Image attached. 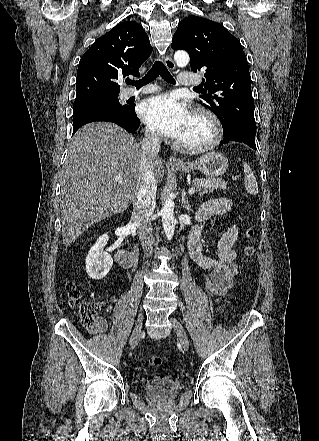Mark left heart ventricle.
Returning <instances> with one entry per match:
<instances>
[{"mask_svg": "<svg viewBox=\"0 0 319 441\" xmlns=\"http://www.w3.org/2000/svg\"><path fill=\"white\" fill-rule=\"evenodd\" d=\"M211 136V128L209 123L202 118L192 116L191 121L178 141L195 145L207 141Z\"/></svg>", "mask_w": 319, "mask_h": 441, "instance_id": "obj_1", "label": "left heart ventricle"}]
</instances>
